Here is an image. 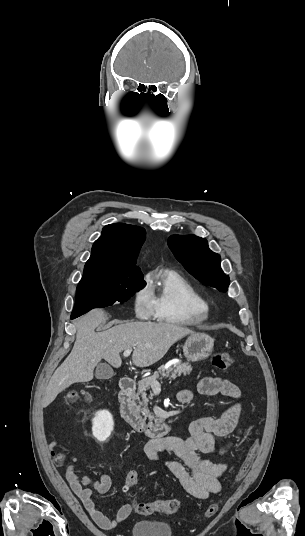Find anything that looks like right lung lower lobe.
Masks as SVG:
<instances>
[{
  "label": "right lung lower lobe",
  "mask_w": 305,
  "mask_h": 536,
  "mask_svg": "<svg viewBox=\"0 0 305 536\" xmlns=\"http://www.w3.org/2000/svg\"><path fill=\"white\" fill-rule=\"evenodd\" d=\"M76 317H79V316H77V315H72V314H71V319H74V318H76Z\"/></svg>",
  "instance_id": "obj_1"
}]
</instances>
